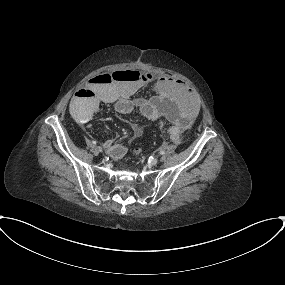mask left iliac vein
<instances>
[{"instance_id":"4c4485c4","label":"left iliac vein","mask_w":285,"mask_h":285,"mask_svg":"<svg viewBox=\"0 0 285 285\" xmlns=\"http://www.w3.org/2000/svg\"><path fill=\"white\" fill-rule=\"evenodd\" d=\"M150 164L153 165V166L157 165L158 164V159H156V158L152 159L150 161Z\"/></svg>"}]
</instances>
